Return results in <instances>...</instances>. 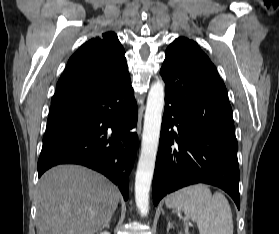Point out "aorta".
Wrapping results in <instances>:
<instances>
[{
    "label": "aorta",
    "instance_id": "aorta-1",
    "mask_svg": "<svg viewBox=\"0 0 279 234\" xmlns=\"http://www.w3.org/2000/svg\"><path fill=\"white\" fill-rule=\"evenodd\" d=\"M164 96V83L161 80L155 81L148 93L141 153L135 177V201L143 216L149 211V193L159 145Z\"/></svg>",
    "mask_w": 279,
    "mask_h": 234
}]
</instances>
